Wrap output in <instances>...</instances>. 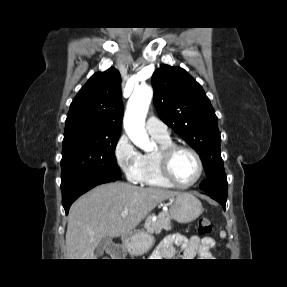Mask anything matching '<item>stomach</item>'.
<instances>
[{
	"label": "stomach",
	"mask_w": 287,
	"mask_h": 287,
	"mask_svg": "<svg viewBox=\"0 0 287 287\" xmlns=\"http://www.w3.org/2000/svg\"><path fill=\"white\" fill-rule=\"evenodd\" d=\"M171 217L181 224L196 220L203 212L198 198L190 193H180L170 198ZM154 239L146 232H138L124 240V246L132 255L146 253L153 245Z\"/></svg>",
	"instance_id": "stomach-1"
}]
</instances>
